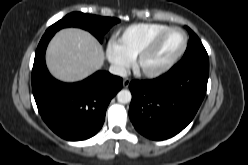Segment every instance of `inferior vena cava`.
Returning a JSON list of instances; mask_svg holds the SVG:
<instances>
[{
	"instance_id": "602c4592",
	"label": "inferior vena cava",
	"mask_w": 248,
	"mask_h": 165,
	"mask_svg": "<svg viewBox=\"0 0 248 165\" xmlns=\"http://www.w3.org/2000/svg\"><path fill=\"white\" fill-rule=\"evenodd\" d=\"M109 72L113 75H117L120 77H126L127 76V70L123 66L112 65L109 68Z\"/></svg>"
}]
</instances>
